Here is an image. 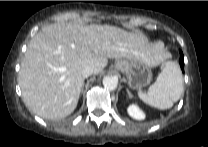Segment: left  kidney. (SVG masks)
I'll list each match as a JSON object with an SVG mask.
<instances>
[{"instance_id": "left-kidney-1", "label": "left kidney", "mask_w": 208, "mask_h": 147, "mask_svg": "<svg viewBox=\"0 0 208 147\" xmlns=\"http://www.w3.org/2000/svg\"><path fill=\"white\" fill-rule=\"evenodd\" d=\"M127 112L132 118L136 120H143L145 118L144 113L136 105H130L127 109Z\"/></svg>"}]
</instances>
